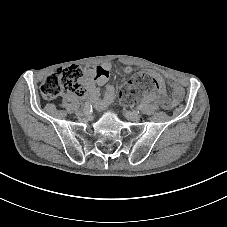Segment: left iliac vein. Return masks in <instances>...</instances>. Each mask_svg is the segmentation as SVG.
<instances>
[{
  "mask_svg": "<svg viewBox=\"0 0 227 227\" xmlns=\"http://www.w3.org/2000/svg\"><path fill=\"white\" fill-rule=\"evenodd\" d=\"M125 117L128 119V120H131V121H138L141 119V115L137 112H129V111H126L124 113Z\"/></svg>",
  "mask_w": 227,
  "mask_h": 227,
  "instance_id": "4c4485c4",
  "label": "left iliac vein"
}]
</instances>
